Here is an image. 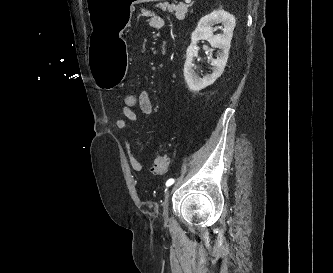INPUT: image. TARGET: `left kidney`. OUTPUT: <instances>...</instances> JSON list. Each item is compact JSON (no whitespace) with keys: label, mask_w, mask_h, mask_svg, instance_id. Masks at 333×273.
I'll return each mask as SVG.
<instances>
[{"label":"left kidney","mask_w":333,"mask_h":273,"mask_svg":"<svg viewBox=\"0 0 333 273\" xmlns=\"http://www.w3.org/2000/svg\"><path fill=\"white\" fill-rule=\"evenodd\" d=\"M219 23L224 26L223 34L214 35L213 26ZM235 25L234 16L224 10L213 11L199 20L195 31L191 35V44L187 48L184 64V77L190 90L200 91L213 84L221 76L228 60ZM201 39L207 40L211 47L221 50L218 57L211 60L213 73L203 78L198 77L193 70V60L198 56L199 50L197 42Z\"/></svg>","instance_id":"1"}]
</instances>
